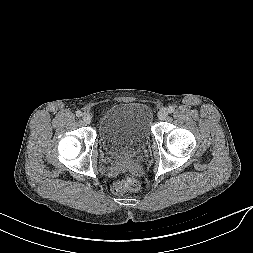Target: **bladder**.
<instances>
[{
  "label": "bladder",
  "mask_w": 253,
  "mask_h": 253,
  "mask_svg": "<svg viewBox=\"0 0 253 253\" xmlns=\"http://www.w3.org/2000/svg\"><path fill=\"white\" fill-rule=\"evenodd\" d=\"M152 111L141 102H121L107 110L99 123V137L109 157L126 158L137 154L151 136Z\"/></svg>",
  "instance_id": "bladder-1"
}]
</instances>
